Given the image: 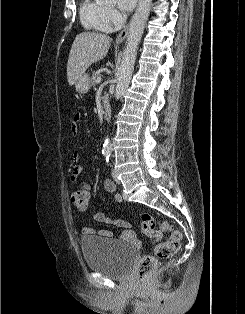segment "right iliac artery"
I'll return each instance as SVG.
<instances>
[{"mask_svg":"<svg viewBox=\"0 0 245 314\" xmlns=\"http://www.w3.org/2000/svg\"><path fill=\"white\" fill-rule=\"evenodd\" d=\"M104 156L108 157V155H107V154H104Z\"/></svg>","mask_w":245,"mask_h":314,"instance_id":"obj_1","label":"right iliac artery"}]
</instances>
